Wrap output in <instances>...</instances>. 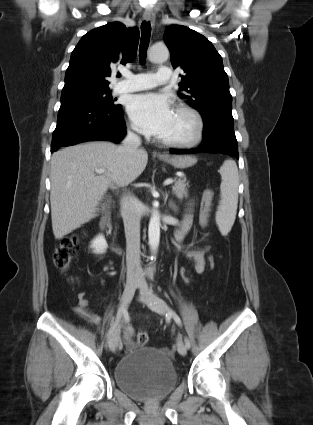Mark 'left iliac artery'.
Masks as SVG:
<instances>
[{
    "label": "left iliac artery",
    "mask_w": 313,
    "mask_h": 425,
    "mask_svg": "<svg viewBox=\"0 0 313 425\" xmlns=\"http://www.w3.org/2000/svg\"><path fill=\"white\" fill-rule=\"evenodd\" d=\"M168 315L172 316V317H173V319L175 320V322H176L179 326H182V322H181L180 317H179V316H178V315H177V314H176L173 310H169ZM184 341H185V345H186V347H187V348H190L191 344H190L189 339H188L187 337H185Z\"/></svg>",
    "instance_id": "44dca946"
}]
</instances>
